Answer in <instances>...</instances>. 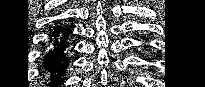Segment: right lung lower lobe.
<instances>
[{"label":"right lung lower lobe","instance_id":"1","mask_svg":"<svg viewBox=\"0 0 205 87\" xmlns=\"http://www.w3.org/2000/svg\"><path fill=\"white\" fill-rule=\"evenodd\" d=\"M71 28L57 25L51 33L50 45L44 53L42 71L49 77V87H61L65 80L66 68L69 65L68 37Z\"/></svg>","mask_w":205,"mask_h":87}]
</instances>
